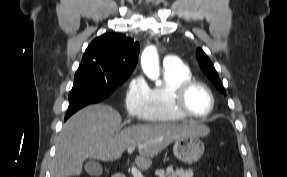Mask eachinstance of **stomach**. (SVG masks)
<instances>
[{
    "instance_id": "obj_1",
    "label": "stomach",
    "mask_w": 287,
    "mask_h": 177,
    "mask_svg": "<svg viewBox=\"0 0 287 177\" xmlns=\"http://www.w3.org/2000/svg\"><path fill=\"white\" fill-rule=\"evenodd\" d=\"M205 150L203 142L199 136L187 135L177 139L173 146L176 158L184 163L197 162Z\"/></svg>"
}]
</instances>
